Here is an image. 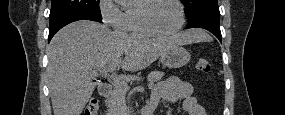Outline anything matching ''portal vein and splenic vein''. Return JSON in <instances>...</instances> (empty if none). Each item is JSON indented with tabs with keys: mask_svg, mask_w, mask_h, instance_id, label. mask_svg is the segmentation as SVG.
Returning a JSON list of instances; mask_svg holds the SVG:
<instances>
[{
	"mask_svg": "<svg viewBox=\"0 0 285 115\" xmlns=\"http://www.w3.org/2000/svg\"><path fill=\"white\" fill-rule=\"evenodd\" d=\"M119 65V63L111 65L108 67V70L112 73V78L115 84L117 85H122V86H126L127 83L125 82V80H123L122 78H119L116 73L114 72L116 67ZM104 73L106 74L107 71H104ZM152 84H149L148 86L150 87Z\"/></svg>",
	"mask_w": 285,
	"mask_h": 115,
	"instance_id": "portal-vein-and-splenic-vein-1",
	"label": "portal vein and splenic vein"
}]
</instances>
